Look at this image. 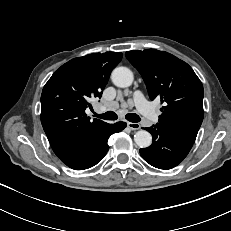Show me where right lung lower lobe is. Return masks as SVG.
<instances>
[{
    "mask_svg": "<svg viewBox=\"0 0 231 231\" xmlns=\"http://www.w3.org/2000/svg\"><path fill=\"white\" fill-rule=\"evenodd\" d=\"M125 127V122L110 124L104 132L85 144L77 157L67 166L75 170H84L96 165L109 149L107 141L110 135L122 131Z\"/></svg>",
    "mask_w": 231,
    "mask_h": 231,
    "instance_id": "98d812e1",
    "label": "right lung lower lobe"
}]
</instances>
